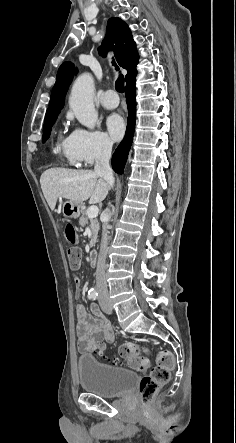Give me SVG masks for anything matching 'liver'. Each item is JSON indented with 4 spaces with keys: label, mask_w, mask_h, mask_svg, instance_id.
I'll list each match as a JSON object with an SVG mask.
<instances>
[{
    "label": "liver",
    "mask_w": 236,
    "mask_h": 443,
    "mask_svg": "<svg viewBox=\"0 0 236 443\" xmlns=\"http://www.w3.org/2000/svg\"><path fill=\"white\" fill-rule=\"evenodd\" d=\"M43 195L53 211L59 197L76 203L90 198V203L102 202L109 191L107 182L90 170L51 168L40 177Z\"/></svg>",
    "instance_id": "liver-1"
}]
</instances>
